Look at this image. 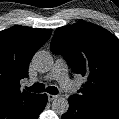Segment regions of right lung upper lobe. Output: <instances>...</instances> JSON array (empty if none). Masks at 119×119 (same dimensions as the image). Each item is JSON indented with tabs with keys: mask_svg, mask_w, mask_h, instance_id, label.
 Masks as SVG:
<instances>
[{
	"mask_svg": "<svg viewBox=\"0 0 119 119\" xmlns=\"http://www.w3.org/2000/svg\"><path fill=\"white\" fill-rule=\"evenodd\" d=\"M52 29L13 26L0 32V119H29L41 94L20 90L29 63Z\"/></svg>",
	"mask_w": 119,
	"mask_h": 119,
	"instance_id": "right-lung-upper-lobe-1",
	"label": "right lung upper lobe"
}]
</instances>
